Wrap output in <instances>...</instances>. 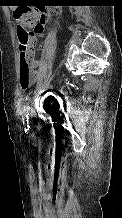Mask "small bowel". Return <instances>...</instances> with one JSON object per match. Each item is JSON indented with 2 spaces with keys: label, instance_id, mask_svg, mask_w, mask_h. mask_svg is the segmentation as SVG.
Here are the masks:
<instances>
[{
  "label": "small bowel",
  "instance_id": "obj_1",
  "mask_svg": "<svg viewBox=\"0 0 122 218\" xmlns=\"http://www.w3.org/2000/svg\"><path fill=\"white\" fill-rule=\"evenodd\" d=\"M32 67L34 70V81H36L38 79V61L37 60H32Z\"/></svg>",
  "mask_w": 122,
  "mask_h": 218
}]
</instances>
